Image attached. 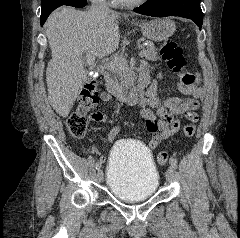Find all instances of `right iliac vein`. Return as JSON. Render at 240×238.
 I'll use <instances>...</instances> for the list:
<instances>
[{
  "mask_svg": "<svg viewBox=\"0 0 240 238\" xmlns=\"http://www.w3.org/2000/svg\"><path fill=\"white\" fill-rule=\"evenodd\" d=\"M97 180L102 183L104 181V174L102 172V170H98L97 172Z\"/></svg>",
  "mask_w": 240,
  "mask_h": 238,
  "instance_id": "right-iliac-vein-1",
  "label": "right iliac vein"
}]
</instances>
